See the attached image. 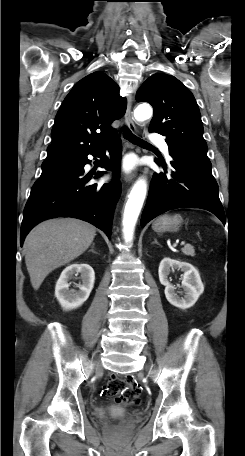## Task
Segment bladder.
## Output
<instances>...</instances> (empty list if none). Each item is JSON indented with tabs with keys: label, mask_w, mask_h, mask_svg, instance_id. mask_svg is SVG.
Instances as JSON below:
<instances>
[{
	"label": "bladder",
	"mask_w": 245,
	"mask_h": 456,
	"mask_svg": "<svg viewBox=\"0 0 245 456\" xmlns=\"http://www.w3.org/2000/svg\"><path fill=\"white\" fill-rule=\"evenodd\" d=\"M125 413V408L115 405L109 407H99L96 409V414L100 418H103L105 416L119 417Z\"/></svg>",
	"instance_id": "bladder-1"
}]
</instances>
